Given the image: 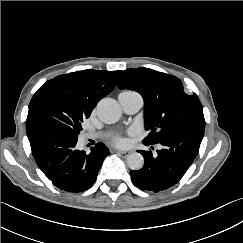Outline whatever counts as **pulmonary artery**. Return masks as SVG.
Masks as SVG:
<instances>
[{"mask_svg":"<svg viewBox=\"0 0 243 243\" xmlns=\"http://www.w3.org/2000/svg\"><path fill=\"white\" fill-rule=\"evenodd\" d=\"M120 104L127 114H135L138 112L142 105H143V99L139 94H133V95H120L119 96ZM90 135H84V139L90 138Z\"/></svg>","mask_w":243,"mask_h":243,"instance_id":"obj_1","label":"pulmonary artery"}]
</instances>
